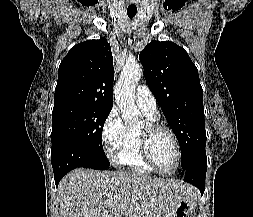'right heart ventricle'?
<instances>
[{
    "label": "right heart ventricle",
    "instance_id": "1",
    "mask_svg": "<svg viewBox=\"0 0 253 217\" xmlns=\"http://www.w3.org/2000/svg\"><path fill=\"white\" fill-rule=\"evenodd\" d=\"M144 114L150 122H154L157 119L146 112ZM116 162L139 174L150 175L155 172L142 157L139 146V132L133 129L128 130L127 139L118 150Z\"/></svg>",
    "mask_w": 253,
    "mask_h": 217
}]
</instances>
